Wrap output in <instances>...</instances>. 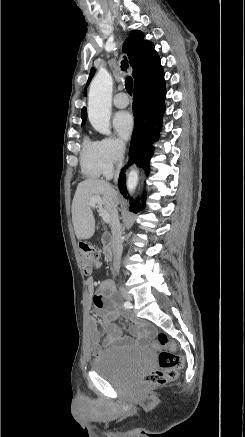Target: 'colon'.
Here are the masks:
<instances>
[{
    "label": "colon",
    "instance_id": "colon-1",
    "mask_svg": "<svg viewBox=\"0 0 245 437\" xmlns=\"http://www.w3.org/2000/svg\"><path fill=\"white\" fill-rule=\"evenodd\" d=\"M80 255L82 268L89 275L101 269L103 262L98 251L91 245L81 244ZM157 344L160 348L158 368L146 373L141 382L144 385H163L176 379L178 371L183 365L182 357L175 352V344L167 334H157Z\"/></svg>",
    "mask_w": 245,
    "mask_h": 437
}]
</instances>
